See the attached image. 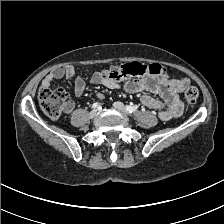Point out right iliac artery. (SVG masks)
<instances>
[{"mask_svg":"<svg viewBox=\"0 0 224 224\" xmlns=\"http://www.w3.org/2000/svg\"><path fill=\"white\" fill-rule=\"evenodd\" d=\"M100 107V104L99 103H94L93 105H92V108H99Z\"/></svg>","mask_w":224,"mask_h":224,"instance_id":"82829eb1","label":"right iliac artery"}]
</instances>
